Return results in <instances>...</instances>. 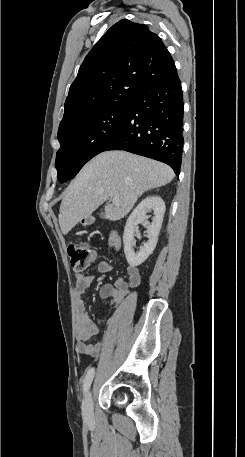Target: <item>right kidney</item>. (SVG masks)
I'll return each instance as SVG.
<instances>
[{
	"label": "right kidney",
	"mask_w": 245,
	"mask_h": 457,
	"mask_svg": "<svg viewBox=\"0 0 245 457\" xmlns=\"http://www.w3.org/2000/svg\"><path fill=\"white\" fill-rule=\"evenodd\" d=\"M152 222H149L148 218L152 212ZM165 212V202L161 196H147L144 200L139 202L138 206L134 208L130 216L126 220V226L123 233L124 253L130 267H138L141 263H144L148 259L149 255H152L158 241V235L163 222V216ZM144 224L147 231V243H143V247H139V251L135 253V239L134 233L138 229V224Z\"/></svg>",
	"instance_id": "1"
}]
</instances>
